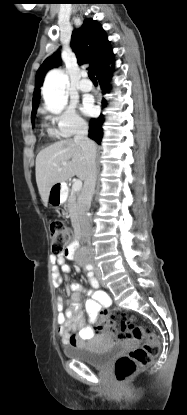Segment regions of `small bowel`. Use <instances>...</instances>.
Wrapping results in <instances>:
<instances>
[{
    "label": "small bowel",
    "instance_id": "1",
    "mask_svg": "<svg viewBox=\"0 0 187 415\" xmlns=\"http://www.w3.org/2000/svg\"><path fill=\"white\" fill-rule=\"evenodd\" d=\"M66 256L67 254H61L52 258L53 278L56 286L62 283L60 272L69 273L70 271V266L65 260ZM67 291L70 294L67 307L63 296L57 297L59 311L57 321L62 343L66 346H80L93 352L107 349L113 343L112 337L108 334L96 333L93 327V323L98 320L100 309L110 304L107 293L101 290H86L77 282L71 283ZM84 293L90 295V298L84 301L89 322L85 321L81 311ZM74 328L78 329L77 333L72 332Z\"/></svg>",
    "mask_w": 187,
    "mask_h": 415
}]
</instances>
